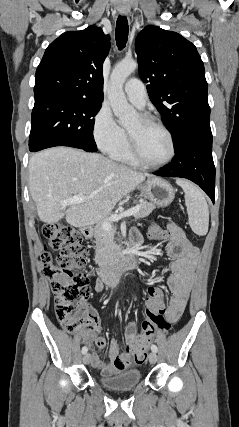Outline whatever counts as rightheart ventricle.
Here are the masks:
<instances>
[{"label": "right heart ventricle", "mask_w": 239, "mask_h": 427, "mask_svg": "<svg viewBox=\"0 0 239 427\" xmlns=\"http://www.w3.org/2000/svg\"><path fill=\"white\" fill-rule=\"evenodd\" d=\"M114 160L129 164V165H136L137 163L134 161L132 156L130 155L129 149H128V143H127V137L124 142V144L115 151L112 155H110Z\"/></svg>", "instance_id": "e07e8e85"}]
</instances>
